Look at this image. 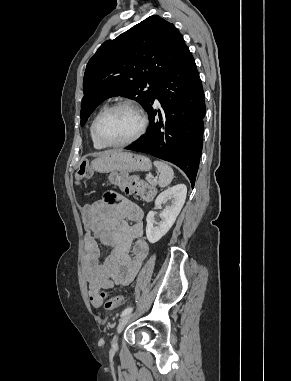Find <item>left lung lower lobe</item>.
Instances as JSON below:
<instances>
[{
  "label": "left lung lower lobe",
  "instance_id": "obj_1",
  "mask_svg": "<svg viewBox=\"0 0 291 381\" xmlns=\"http://www.w3.org/2000/svg\"><path fill=\"white\" fill-rule=\"evenodd\" d=\"M155 98L161 110L153 108ZM146 111L150 121L148 131L125 149L174 163L194 186L202 153L205 99L189 49L157 85Z\"/></svg>",
  "mask_w": 291,
  "mask_h": 381
}]
</instances>
